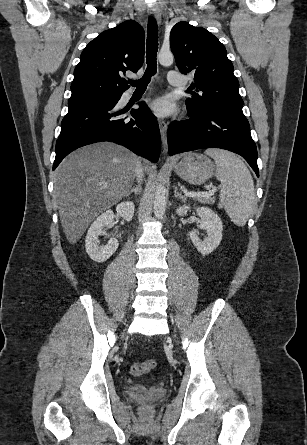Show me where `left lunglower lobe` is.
<instances>
[{
    "label": "left lung lower lobe",
    "mask_w": 307,
    "mask_h": 445,
    "mask_svg": "<svg viewBox=\"0 0 307 445\" xmlns=\"http://www.w3.org/2000/svg\"><path fill=\"white\" fill-rule=\"evenodd\" d=\"M189 116V120L169 126L170 155L201 148H222L244 157L259 176L256 145L243 114L217 110L199 116L189 113Z\"/></svg>",
    "instance_id": "0a47b994"
}]
</instances>
